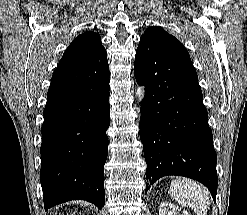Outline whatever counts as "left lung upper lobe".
<instances>
[{
    "label": "left lung upper lobe",
    "mask_w": 247,
    "mask_h": 215,
    "mask_svg": "<svg viewBox=\"0 0 247 215\" xmlns=\"http://www.w3.org/2000/svg\"><path fill=\"white\" fill-rule=\"evenodd\" d=\"M141 41L156 44L162 48L170 49L189 56L185 47L172 35L159 26L150 27L141 36Z\"/></svg>",
    "instance_id": "obj_1"
}]
</instances>
